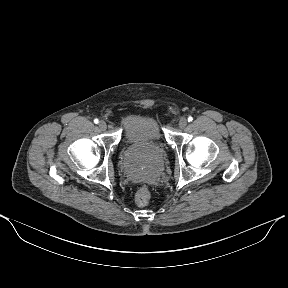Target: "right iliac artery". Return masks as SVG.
Returning a JSON list of instances; mask_svg holds the SVG:
<instances>
[{
  "label": "right iliac artery",
  "instance_id": "right-iliac-artery-1",
  "mask_svg": "<svg viewBox=\"0 0 288 288\" xmlns=\"http://www.w3.org/2000/svg\"><path fill=\"white\" fill-rule=\"evenodd\" d=\"M98 122H99L98 119H95V120H94V123H95V124H98Z\"/></svg>",
  "mask_w": 288,
  "mask_h": 288
}]
</instances>
